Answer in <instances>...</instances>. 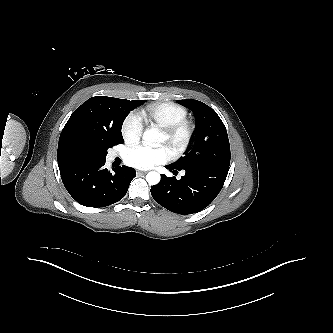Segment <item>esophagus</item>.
Returning a JSON list of instances; mask_svg holds the SVG:
<instances>
[{"label": "esophagus", "instance_id": "obj_1", "mask_svg": "<svg viewBox=\"0 0 333 333\" xmlns=\"http://www.w3.org/2000/svg\"><path fill=\"white\" fill-rule=\"evenodd\" d=\"M144 174H146V172H144V171H136V175L137 176H141V175H144Z\"/></svg>", "mask_w": 333, "mask_h": 333}]
</instances>
